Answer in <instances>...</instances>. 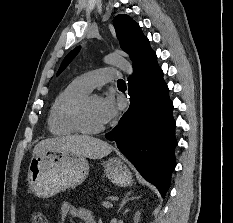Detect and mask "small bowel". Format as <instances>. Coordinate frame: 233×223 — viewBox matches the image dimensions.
<instances>
[{"label": "small bowel", "instance_id": "c3829d8e", "mask_svg": "<svg viewBox=\"0 0 233 223\" xmlns=\"http://www.w3.org/2000/svg\"><path fill=\"white\" fill-rule=\"evenodd\" d=\"M68 217L81 220L84 223H97L90 210L77 207L70 202H64L60 211V223H65Z\"/></svg>", "mask_w": 233, "mask_h": 223}]
</instances>
